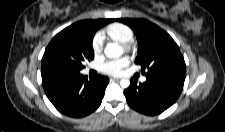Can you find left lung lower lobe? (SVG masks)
Here are the masks:
<instances>
[{"mask_svg": "<svg viewBox=\"0 0 225 132\" xmlns=\"http://www.w3.org/2000/svg\"><path fill=\"white\" fill-rule=\"evenodd\" d=\"M146 77V82L139 85L131 79L124 94L134 110L145 115H157L175 103L182 92L185 78Z\"/></svg>", "mask_w": 225, "mask_h": 132, "instance_id": "1", "label": "left lung lower lobe"}]
</instances>
